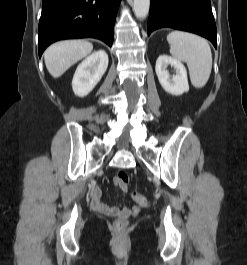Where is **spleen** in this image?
<instances>
[{"instance_id": "obj_1", "label": "spleen", "mask_w": 247, "mask_h": 265, "mask_svg": "<svg viewBox=\"0 0 247 265\" xmlns=\"http://www.w3.org/2000/svg\"><path fill=\"white\" fill-rule=\"evenodd\" d=\"M171 55L186 62L190 80L195 88L206 85L212 69V54L208 42L195 34L173 31L168 34Z\"/></svg>"}]
</instances>
